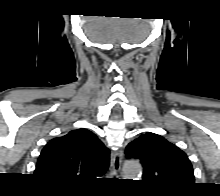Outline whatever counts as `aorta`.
Segmentation results:
<instances>
[{
	"instance_id": "aorta-1",
	"label": "aorta",
	"mask_w": 220,
	"mask_h": 196,
	"mask_svg": "<svg viewBox=\"0 0 220 196\" xmlns=\"http://www.w3.org/2000/svg\"><path fill=\"white\" fill-rule=\"evenodd\" d=\"M125 179L138 178L142 174V167L138 161L128 160L123 165Z\"/></svg>"
}]
</instances>
